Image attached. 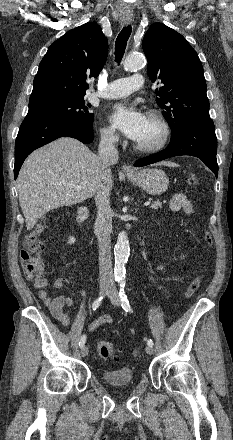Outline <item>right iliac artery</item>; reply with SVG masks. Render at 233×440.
Segmentation results:
<instances>
[{
    "instance_id": "obj_1",
    "label": "right iliac artery",
    "mask_w": 233,
    "mask_h": 440,
    "mask_svg": "<svg viewBox=\"0 0 233 440\" xmlns=\"http://www.w3.org/2000/svg\"><path fill=\"white\" fill-rule=\"evenodd\" d=\"M102 299H103V296H100L98 299H96L93 302V304H92L93 310H96L100 306ZM85 342H86V335H83V336H81V339L79 341V346L83 347L85 345Z\"/></svg>"
}]
</instances>
